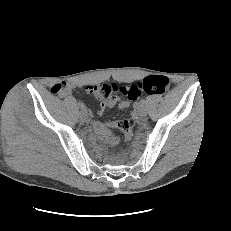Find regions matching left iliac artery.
<instances>
[{
  "instance_id": "1",
  "label": "left iliac artery",
  "mask_w": 231,
  "mask_h": 231,
  "mask_svg": "<svg viewBox=\"0 0 231 231\" xmlns=\"http://www.w3.org/2000/svg\"><path fill=\"white\" fill-rule=\"evenodd\" d=\"M139 106H140L141 108H144V107L146 106V100H145V99H142V100L140 101V103H139Z\"/></svg>"
}]
</instances>
